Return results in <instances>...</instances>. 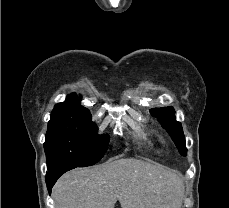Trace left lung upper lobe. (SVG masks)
Instances as JSON below:
<instances>
[{
	"instance_id": "5c2ea615",
	"label": "left lung upper lobe",
	"mask_w": 229,
	"mask_h": 208,
	"mask_svg": "<svg viewBox=\"0 0 229 208\" xmlns=\"http://www.w3.org/2000/svg\"><path fill=\"white\" fill-rule=\"evenodd\" d=\"M150 113L156 117L158 122L171 136L173 142L182 155H186L185 136L183 134L181 123L175 120V112L172 107H161L151 109Z\"/></svg>"
}]
</instances>
